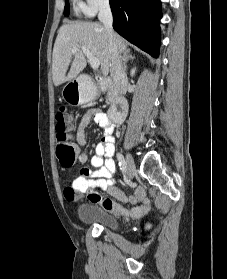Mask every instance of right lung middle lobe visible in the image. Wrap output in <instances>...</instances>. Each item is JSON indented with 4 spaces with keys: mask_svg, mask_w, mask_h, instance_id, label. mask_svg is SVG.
<instances>
[{
    "mask_svg": "<svg viewBox=\"0 0 227 279\" xmlns=\"http://www.w3.org/2000/svg\"><path fill=\"white\" fill-rule=\"evenodd\" d=\"M64 15H65V16H68V15H69V3H68L67 0H66V2H65Z\"/></svg>",
    "mask_w": 227,
    "mask_h": 279,
    "instance_id": "right-lung-middle-lobe-1",
    "label": "right lung middle lobe"
}]
</instances>
